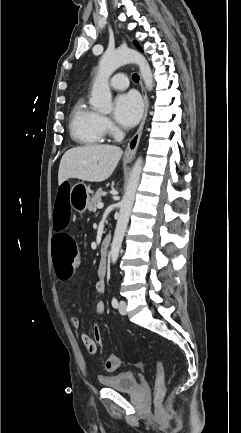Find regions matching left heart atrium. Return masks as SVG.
<instances>
[{
    "mask_svg": "<svg viewBox=\"0 0 241 433\" xmlns=\"http://www.w3.org/2000/svg\"><path fill=\"white\" fill-rule=\"evenodd\" d=\"M143 104L136 92L118 95L114 101V118L124 127L134 126L140 119Z\"/></svg>",
    "mask_w": 241,
    "mask_h": 433,
    "instance_id": "left-heart-atrium-1",
    "label": "left heart atrium"
}]
</instances>
